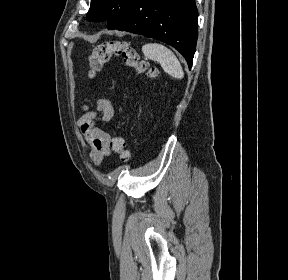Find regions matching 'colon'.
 <instances>
[{"instance_id": "1", "label": "colon", "mask_w": 288, "mask_h": 280, "mask_svg": "<svg viewBox=\"0 0 288 280\" xmlns=\"http://www.w3.org/2000/svg\"><path fill=\"white\" fill-rule=\"evenodd\" d=\"M113 57H120L126 66L134 68L138 73H145L149 77L157 75V70L142 59L133 46L125 41L112 40L99 44L90 54L88 58L89 76L95 77ZM110 146L114 152L119 154L121 160L125 162L130 160L131 153L126 148L125 140L122 137H114Z\"/></svg>"}]
</instances>
